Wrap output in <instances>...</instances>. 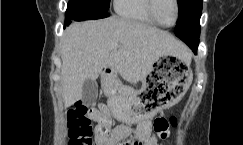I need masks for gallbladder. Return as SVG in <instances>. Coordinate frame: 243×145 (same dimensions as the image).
Here are the masks:
<instances>
[{"mask_svg": "<svg viewBox=\"0 0 243 145\" xmlns=\"http://www.w3.org/2000/svg\"><path fill=\"white\" fill-rule=\"evenodd\" d=\"M98 96V84L95 80L86 79L83 84L82 100L86 105L94 103Z\"/></svg>", "mask_w": 243, "mask_h": 145, "instance_id": "obj_1", "label": "gallbladder"}]
</instances>
